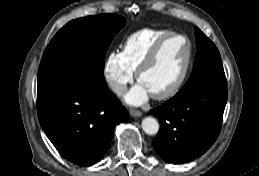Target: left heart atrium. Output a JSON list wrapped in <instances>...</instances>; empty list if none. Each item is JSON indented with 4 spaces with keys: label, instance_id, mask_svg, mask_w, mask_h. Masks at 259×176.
Segmentation results:
<instances>
[{
    "label": "left heart atrium",
    "instance_id": "1",
    "mask_svg": "<svg viewBox=\"0 0 259 176\" xmlns=\"http://www.w3.org/2000/svg\"><path fill=\"white\" fill-rule=\"evenodd\" d=\"M148 89L140 82H138L125 96V101L131 105H142L150 96Z\"/></svg>",
    "mask_w": 259,
    "mask_h": 176
}]
</instances>
